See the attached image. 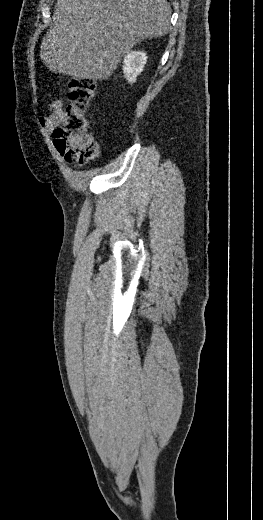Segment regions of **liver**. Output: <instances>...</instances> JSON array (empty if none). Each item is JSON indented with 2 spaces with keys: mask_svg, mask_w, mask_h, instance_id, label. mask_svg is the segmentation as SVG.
<instances>
[{
  "mask_svg": "<svg viewBox=\"0 0 263 520\" xmlns=\"http://www.w3.org/2000/svg\"><path fill=\"white\" fill-rule=\"evenodd\" d=\"M167 0H58L40 57L52 72L108 79L137 43L166 35Z\"/></svg>",
  "mask_w": 263,
  "mask_h": 520,
  "instance_id": "1",
  "label": "liver"
}]
</instances>
